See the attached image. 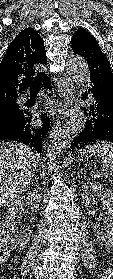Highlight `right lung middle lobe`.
I'll list each match as a JSON object with an SVG mask.
<instances>
[{"mask_svg":"<svg viewBox=\"0 0 113 279\" xmlns=\"http://www.w3.org/2000/svg\"><path fill=\"white\" fill-rule=\"evenodd\" d=\"M22 114L17 104L0 109V125L12 122Z\"/></svg>","mask_w":113,"mask_h":279,"instance_id":"dd1d6c3e","label":"right lung middle lobe"}]
</instances>
